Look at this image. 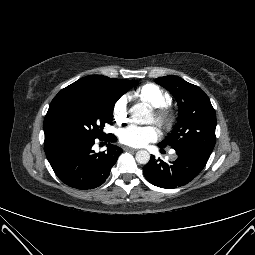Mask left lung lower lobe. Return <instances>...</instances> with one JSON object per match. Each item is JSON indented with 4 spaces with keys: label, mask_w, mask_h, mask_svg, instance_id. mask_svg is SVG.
<instances>
[{
    "label": "left lung lower lobe",
    "mask_w": 255,
    "mask_h": 255,
    "mask_svg": "<svg viewBox=\"0 0 255 255\" xmlns=\"http://www.w3.org/2000/svg\"><path fill=\"white\" fill-rule=\"evenodd\" d=\"M158 146L162 147L159 144ZM176 152L177 159L169 163L151 156L143 169L145 178L151 184L168 189L183 186L201 172L210 157V154L196 150H176Z\"/></svg>",
    "instance_id": "1"
}]
</instances>
